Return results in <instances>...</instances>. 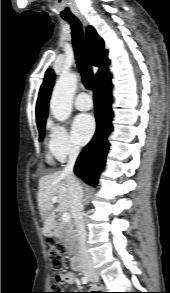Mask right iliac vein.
Segmentation results:
<instances>
[{
  "mask_svg": "<svg viewBox=\"0 0 170 293\" xmlns=\"http://www.w3.org/2000/svg\"><path fill=\"white\" fill-rule=\"evenodd\" d=\"M95 274H96L95 272L89 273L88 277H93Z\"/></svg>",
  "mask_w": 170,
  "mask_h": 293,
  "instance_id": "63e3f726",
  "label": "right iliac vein"
}]
</instances>
